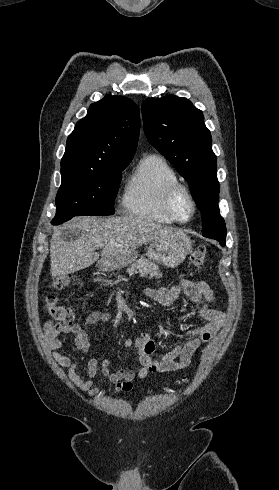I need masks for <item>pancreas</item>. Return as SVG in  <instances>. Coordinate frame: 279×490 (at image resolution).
Here are the masks:
<instances>
[{
	"label": "pancreas",
	"instance_id": "1",
	"mask_svg": "<svg viewBox=\"0 0 279 490\" xmlns=\"http://www.w3.org/2000/svg\"><path fill=\"white\" fill-rule=\"evenodd\" d=\"M160 268L154 262L150 260H138L135 264H131L130 268H127L128 274H140V278H162Z\"/></svg>",
	"mask_w": 279,
	"mask_h": 490
}]
</instances>
